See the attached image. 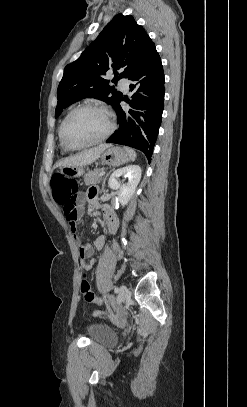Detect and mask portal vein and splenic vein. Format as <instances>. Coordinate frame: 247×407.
<instances>
[{"label": "portal vein and splenic vein", "mask_w": 247, "mask_h": 407, "mask_svg": "<svg viewBox=\"0 0 247 407\" xmlns=\"http://www.w3.org/2000/svg\"><path fill=\"white\" fill-rule=\"evenodd\" d=\"M105 174V171H101L99 176H103Z\"/></svg>", "instance_id": "18ae733b"}]
</instances>
